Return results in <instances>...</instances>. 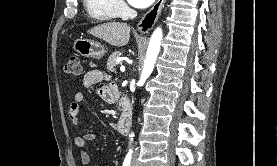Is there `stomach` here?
<instances>
[{
	"label": "stomach",
	"mask_w": 277,
	"mask_h": 166,
	"mask_svg": "<svg viewBox=\"0 0 277 166\" xmlns=\"http://www.w3.org/2000/svg\"><path fill=\"white\" fill-rule=\"evenodd\" d=\"M73 49L80 55L93 59H101L106 53L102 44L82 37L74 41Z\"/></svg>",
	"instance_id": "stomach-1"
}]
</instances>
